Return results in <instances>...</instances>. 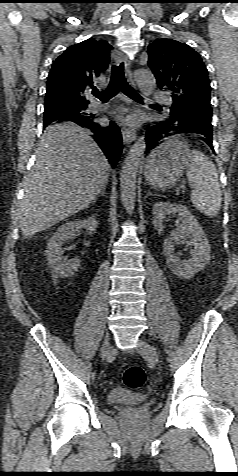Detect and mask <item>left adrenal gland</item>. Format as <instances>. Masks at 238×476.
<instances>
[{
  "label": "left adrenal gland",
  "instance_id": "left-adrenal-gland-1",
  "mask_svg": "<svg viewBox=\"0 0 238 476\" xmlns=\"http://www.w3.org/2000/svg\"><path fill=\"white\" fill-rule=\"evenodd\" d=\"M148 196H159V195H157V194H152V192H151L150 190H148V193H147V195L145 196V198L148 197Z\"/></svg>",
  "mask_w": 238,
  "mask_h": 476
}]
</instances>
